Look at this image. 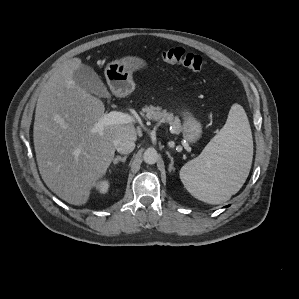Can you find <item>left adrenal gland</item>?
I'll return each instance as SVG.
<instances>
[{
    "label": "left adrenal gland",
    "instance_id": "left-adrenal-gland-1",
    "mask_svg": "<svg viewBox=\"0 0 299 299\" xmlns=\"http://www.w3.org/2000/svg\"><path fill=\"white\" fill-rule=\"evenodd\" d=\"M166 154L168 155V157L171 160V163L169 164V172H171L172 170L174 171L175 170L174 167H173V165H174V159H173V157H171V155H170L169 152H166Z\"/></svg>",
    "mask_w": 299,
    "mask_h": 299
}]
</instances>
